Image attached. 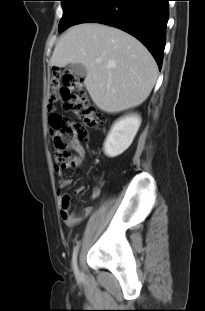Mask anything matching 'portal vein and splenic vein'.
Instances as JSON below:
<instances>
[{
	"label": "portal vein and splenic vein",
	"mask_w": 205,
	"mask_h": 311,
	"mask_svg": "<svg viewBox=\"0 0 205 311\" xmlns=\"http://www.w3.org/2000/svg\"><path fill=\"white\" fill-rule=\"evenodd\" d=\"M95 61H96L97 63H99L101 60H100V59H96Z\"/></svg>",
	"instance_id": "obj_1"
}]
</instances>
